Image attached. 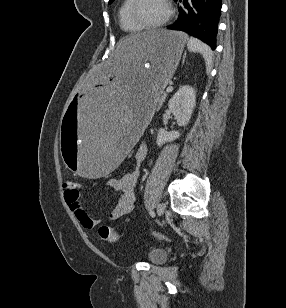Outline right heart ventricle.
Here are the masks:
<instances>
[{"label":"right heart ventricle","instance_id":"e07e8e85","mask_svg":"<svg viewBox=\"0 0 286 308\" xmlns=\"http://www.w3.org/2000/svg\"><path fill=\"white\" fill-rule=\"evenodd\" d=\"M131 0H122L118 9V21L120 28L130 34L141 32L143 29L133 23L129 17V7Z\"/></svg>","mask_w":286,"mask_h":308}]
</instances>
